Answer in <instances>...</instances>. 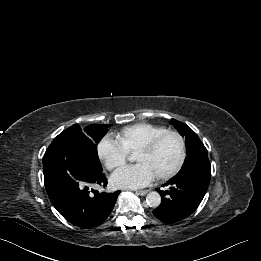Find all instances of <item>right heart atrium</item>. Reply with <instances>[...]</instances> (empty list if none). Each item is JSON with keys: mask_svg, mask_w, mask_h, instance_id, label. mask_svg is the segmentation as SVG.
<instances>
[{"mask_svg": "<svg viewBox=\"0 0 261 261\" xmlns=\"http://www.w3.org/2000/svg\"><path fill=\"white\" fill-rule=\"evenodd\" d=\"M97 153L108 170L116 169L124 164L128 155L125 147L112 135H105L99 140Z\"/></svg>", "mask_w": 261, "mask_h": 261, "instance_id": "right-heart-atrium-1", "label": "right heart atrium"}]
</instances>
